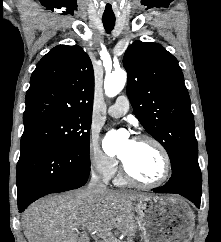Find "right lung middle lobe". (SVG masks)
Returning <instances> with one entry per match:
<instances>
[{
	"instance_id": "obj_1",
	"label": "right lung middle lobe",
	"mask_w": 221,
	"mask_h": 242,
	"mask_svg": "<svg viewBox=\"0 0 221 242\" xmlns=\"http://www.w3.org/2000/svg\"><path fill=\"white\" fill-rule=\"evenodd\" d=\"M22 141L46 140L89 153L91 117L70 116L41 120L24 126Z\"/></svg>"
}]
</instances>
